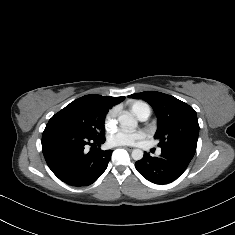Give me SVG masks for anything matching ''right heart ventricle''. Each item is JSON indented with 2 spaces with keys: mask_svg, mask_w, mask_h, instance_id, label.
<instances>
[{
  "mask_svg": "<svg viewBox=\"0 0 235 235\" xmlns=\"http://www.w3.org/2000/svg\"><path fill=\"white\" fill-rule=\"evenodd\" d=\"M144 103H141V102H136L133 106H132V109L134 112H136V109L140 106V105H143Z\"/></svg>",
  "mask_w": 235,
  "mask_h": 235,
  "instance_id": "obj_1",
  "label": "right heart ventricle"
}]
</instances>
